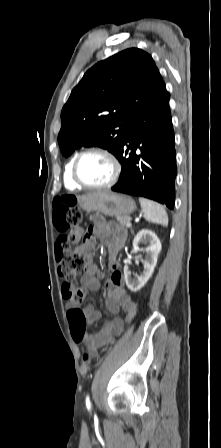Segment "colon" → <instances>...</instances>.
<instances>
[{
  "label": "colon",
  "instance_id": "colon-1",
  "mask_svg": "<svg viewBox=\"0 0 221 448\" xmlns=\"http://www.w3.org/2000/svg\"><path fill=\"white\" fill-rule=\"evenodd\" d=\"M76 204L77 198L73 195L56 198L53 203V223L55 230L62 234L56 245V261L58 273L64 280L62 293L70 306L68 316L71 335L76 342H80L86 335V319L79 306L85 299L86 291L75 282L86 270L87 263L83 254L71 248V244L77 241L78 234L73 232L69 236L65 235L71 226H77L81 222L82 214Z\"/></svg>",
  "mask_w": 221,
  "mask_h": 448
}]
</instances>
